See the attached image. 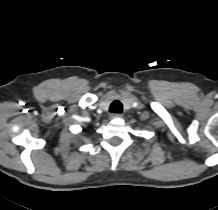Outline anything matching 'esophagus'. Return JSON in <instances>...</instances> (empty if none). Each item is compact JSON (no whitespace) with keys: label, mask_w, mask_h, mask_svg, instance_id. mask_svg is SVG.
I'll use <instances>...</instances> for the list:
<instances>
[{"label":"esophagus","mask_w":218,"mask_h":210,"mask_svg":"<svg viewBox=\"0 0 218 210\" xmlns=\"http://www.w3.org/2000/svg\"><path fill=\"white\" fill-rule=\"evenodd\" d=\"M122 114L114 113L111 115V118H121Z\"/></svg>","instance_id":"1"}]
</instances>
